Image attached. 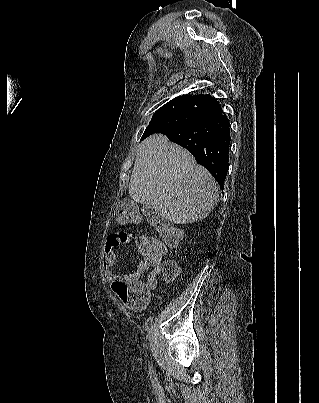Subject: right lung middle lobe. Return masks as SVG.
Masks as SVG:
<instances>
[{"label":"right lung middle lobe","mask_w":319,"mask_h":403,"mask_svg":"<svg viewBox=\"0 0 319 403\" xmlns=\"http://www.w3.org/2000/svg\"><path fill=\"white\" fill-rule=\"evenodd\" d=\"M211 114V109L199 104L190 102L167 103L154 113L141 140L164 128L186 125Z\"/></svg>","instance_id":"dd1d6c3e"}]
</instances>
